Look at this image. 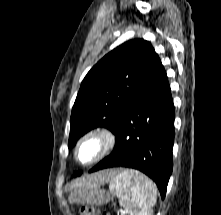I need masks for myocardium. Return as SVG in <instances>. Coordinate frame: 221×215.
I'll list each match as a JSON object with an SVG mask.
<instances>
[{"label":"myocardium","instance_id":"obj_1","mask_svg":"<svg viewBox=\"0 0 221 215\" xmlns=\"http://www.w3.org/2000/svg\"><path fill=\"white\" fill-rule=\"evenodd\" d=\"M89 144L94 145V152L89 159H83L81 152ZM116 145L114 133L107 128H95L85 133L74 148L75 160L82 166H90L107 156Z\"/></svg>","mask_w":221,"mask_h":215}]
</instances>
